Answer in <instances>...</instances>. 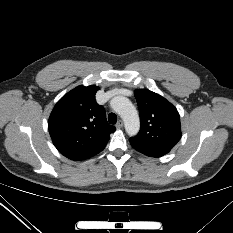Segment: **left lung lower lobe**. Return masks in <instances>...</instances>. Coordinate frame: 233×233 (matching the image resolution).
I'll list each match as a JSON object with an SVG mask.
<instances>
[{"label": "left lung lower lobe", "instance_id": "1", "mask_svg": "<svg viewBox=\"0 0 233 233\" xmlns=\"http://www.w3.org/2000/svg\"><path fill=\"white\" fill-rule=\"evenodd\" d=\"M130 144H131V146H132L134 149H136L137 151L141 152L142 154L147 155V156H150V157H156V156H153V155H151L150 153H148V152H146V151L140 150V149H139L138 147H136L133 143L130 142Z\"/></svg>", "mask_w": 233, "mask_h": 233}]
</instances>
